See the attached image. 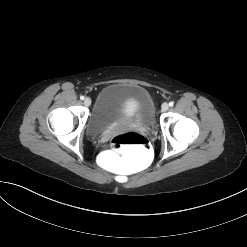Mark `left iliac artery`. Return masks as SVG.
<instances>
[{
	"label": "left iliac artery",
	"instance_id": "1",
	"mask_svg": "<svg viewBox=\"0 0 247 247\" xmlns=\"http://www.w3.org/2000/svg\"><path fill=\"white\" fill-rule=\"evenodd\" d=\"M174 105V102H169V106L172 107Z\"/></svg>",
	"mask_w": 247,
	"mask_h": 247
}]
</instances>
